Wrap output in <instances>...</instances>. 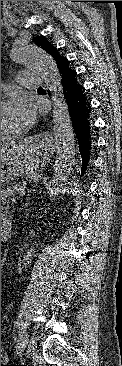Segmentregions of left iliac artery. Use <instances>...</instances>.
I'll return each mask as SVG.
<instances>
[{"mask_svg": "<svg viewBox=\"0 0 122 366\" xmlns=\"http://www.w3.org/2000/svg\"><path fill=\"white\" fill-rule=\"evenodd\" d=\"M21 337H22V339H21V342H22L21 347H25V345L27 344V339H26L27 337H23V335Z\"/></svg>", "mask_w": 122, "mask_h": 366, "instance_id": "1", "label": "left iliac artery"}]
</instances>
